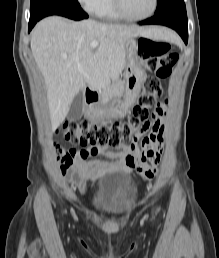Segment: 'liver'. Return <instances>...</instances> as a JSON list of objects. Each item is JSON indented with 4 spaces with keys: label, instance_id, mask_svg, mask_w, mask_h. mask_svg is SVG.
<instances>
[{
    "label": "liver",
    "instance_id": "1",
    "mask_svg": "<svg viewBox=\"0 0 219 258\" xmlns=\"http://www.w3.org/2000/svg\"><path fill=\"white\" fill-rule=\"evenodd\" d=\"M174 39L158 27H137L99 23L95 20L67 21L52 16L32 31L31 51L47 90L52 127L68 114L73 98L86 86L92 91L109 87L125 66V42L130 37ZM97 41V48L90 44Z\"/></svg>",
    "mask_w": 219,
    "mask_h": 258
}]
</instances>
